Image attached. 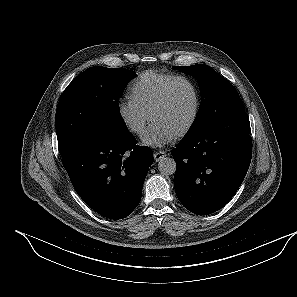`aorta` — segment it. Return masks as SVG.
I'll list each match as a JSON object with an SVG mask.
<instances>
[{
    "label": "aorta",
    "mask_w": 297,
    "mask_h": 297,
    "mask_svg": "<svg viewBox=\"0 0 297 297\" xmlns=\"http://www.w3.org/2000/svg\"><path fill=\"white\" fill-rule=\"evenodd\" d=\"M158 170L163 175H173L176 171L175 160L170 157H162L158 163Z\"/></svg>",
    "instance_id": "obj_1"
}]
</instances>
